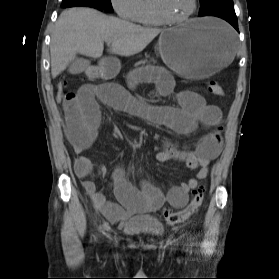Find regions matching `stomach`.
I'll return each mask as SVG.
<instances>
[{
	"mask_svg": "<svg viewBox=\"0 0 279 279\" xmlns=\"http://www.w3.org/2000/svg\"><path fill=\"white\" fill-rule=\"evenodd\" d=\"M228 31L224 32L222 29ZM232 29L224 22L208 18L192 19L185 24L162 31L158 51L173 71L188 79H204L221 69H228L237 50ZM120 68L116 59L100 64L96 82H109Z\"/></svg>",
	"mask_w": 279,
	"mask_h": 279,
	"instance_id": "1",
	"label": "stomach"
}]
</instances>
